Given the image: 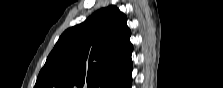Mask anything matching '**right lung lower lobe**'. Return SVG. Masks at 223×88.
I'll return each instance as SVG.
<instances>
[{
  "instance_id": "98d812e1",
  "label": "right lung lower lobe",
  "mask_w": 223,
  "mask_h": 88,
  "mask_svg": "<svg viewBox=\"0 0 223 88\" xmlns=\"http://www.w3.org/2000/svg\"><path fill=\"white\" fill-rule=\"evenodd\" d=\"M131 84H132V80H131L130 82H128V83L124 86V88H131Z\"/></svg>"
}]
</instances>
